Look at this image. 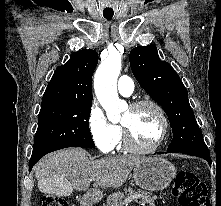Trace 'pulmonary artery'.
<instances>
[{
    "label": "pulmonary artery",
    "instance_id": "obj_1",
    "mask_svg": "<svg viewBox=\"0 0 221 206\" xmlns=\"http://www.w3.org/2000/svg\"><path fill=\"white\" fill-rule=\"evenodd\" d=\"M118 92L123 96H130L133 93L134 85L130 77L123 75L119 78L118 81Z\"/></svg>",
    "mask_w": 221,
    "mask_h": 206
}]
</instances>
